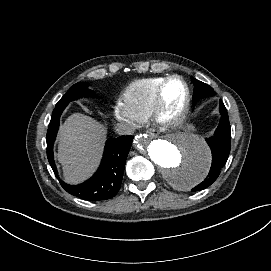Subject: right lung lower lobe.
<instances>
[{"mask_svg": "<svg viewBox=\"0 0 271 271\" xmlns=\"http://www.w3.org/2000/svg\"><path fill=\"white\" fill-rule=\"evenodd\" d=\"M67 105L55 107L47 131V157L61 186L70 194L89 201H102L113 198L121 187L125 162L133 136H120L108 139L98 171L86 182L69 185L63 182L53 159V144L59 128L60 115Z\"/></svg>", "mask_w": 271, "mask_h": 271, "instance_id": "right-lung-lower-lobe-1", "label": "right lung lower lobe"}]
</instances>
